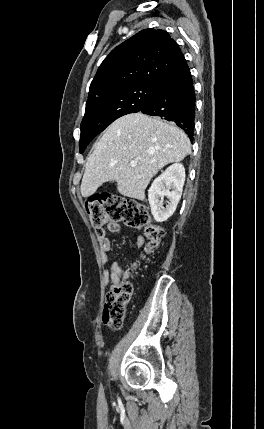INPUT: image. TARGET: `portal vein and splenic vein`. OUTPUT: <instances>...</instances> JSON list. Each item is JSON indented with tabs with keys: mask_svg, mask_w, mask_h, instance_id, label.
I'll list each match as a JSON object with an SVG mask.
<instances>
[{
	"mask_svg": "<svg viewBox=\"0 0 264 429\" xmlns=\"http://www.w3.org/2000/svg\"><path fill=\"white\" fill-rule=\"evenodd\" d=\"M130 165H131L132 167H136V166H137V161H131V162H130Z\"/></svg>",
	"mask_w": 264,
	"mask_h": 429,
	"instance_id": "18ae733b",
	"label": "portal vein and splenic vein"
}]
</instances>
